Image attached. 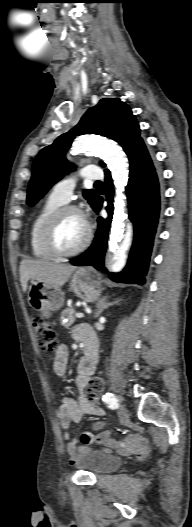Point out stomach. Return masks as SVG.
<instances>
[{"instance_id": "1", "label": "stomach", "mask_w": 192, "mask_h": 527, "mask_svg": "<svg viewBox=\"0 0 192 527\" xmlns=\"http://www.w3.org/2000/svg\"><path fill=\"white\" fill-rule=\"evenodd\" d=\"M71 290L86 302H93L101 294V283L98 275L91 268H80L72 276ZM29 304L39 310L42 316L49 317L64 304V293L46 283L32 280L28 289Z\"/></svg>"}]
</instances>
